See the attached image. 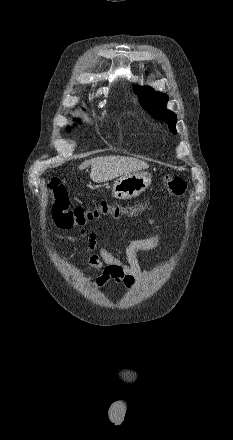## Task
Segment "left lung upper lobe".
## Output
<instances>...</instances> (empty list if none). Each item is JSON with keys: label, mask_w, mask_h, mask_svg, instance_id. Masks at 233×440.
I'll return each instance as SVG.
<instances>
[{"label": "left lung upper lobe", "mask_w": 233, "mask_h": 440, "mask_svg": "<svg viewBox=\"0 0 233 440\" xmlns=\"http://www.w3.org/2000/svg\"><path fill=\"white\" fill-rule=\"evenodd\" d=\"M135 92L138 94L140 104L157 120L166 122L169 125V129L173 134H176V115L166 109V103L168 101L167 95L159 92H155L150 87H134Z\"/></svg>", "instance_id": "obj_1"}]
</instances>
